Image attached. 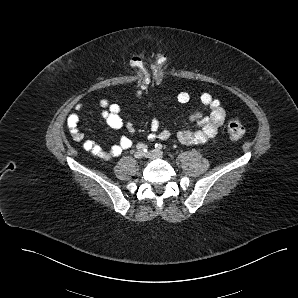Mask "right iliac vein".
<instances>
[{"label": "right iliac vein", "instance_id": "right-iliac-vein-1", "mask_svg": "<svg viewBox=\"0 0 298 298\" xmlns=\"http://www.w3.org/2000/svg\"><path fill=\"white\" fill-rule=\"evenodd\" d=\"M134 156L136 159H142L144 157V152L142 150H137Z\"/></svg>", "mask_w": 298, "mask_h": 298}]
</instances>
